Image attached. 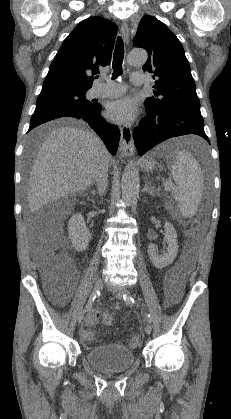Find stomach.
Listing matches in <instances>:
<instances>
[{"mask_svg": "<svg viewBox=\"0 0 231 419\" xmlns=\"http://www.w3.org/2000/svg\"><path fill=\"white\" fill-rule=\"evenodd\" d=\"M142 168L146 171H152L157 166L156 156L153 153L144 156L141 162Z\"/></svg>", "mask_w": 231, "mask_h": 419, "instance_id": "obj_1", "label": "stomach"}]
</instances>
